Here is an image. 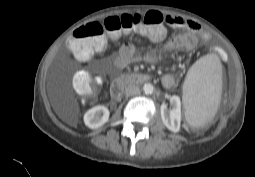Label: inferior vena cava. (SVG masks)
Masks as SVG:
<instances>
[{
	"instance_id": "602c4592",
	"label": "inferior vena cava",
	"mask_w": 255,
	"mask_h": 177,
	"mask_svg": "<svg viewBox=\"0 0 255 177\" xmlns=\"http://www.w3.org/2000/svg\"><path fill=\"white\" fill-rule=\"evenodd\" d=\"M140 93V89L136 85H128L125 88V94L126 96H133V95H138Z\"/></svg>"
}]
</instances>
